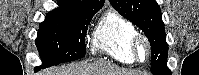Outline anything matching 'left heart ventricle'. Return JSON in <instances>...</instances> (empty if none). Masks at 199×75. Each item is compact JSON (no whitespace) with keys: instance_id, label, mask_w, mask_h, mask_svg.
<instances>
[{"instance_id":"left-heart-ventricle-1","label":"left heart ventricle","mask_w":199,"mask_h":75,"mask_svg":"<svg viewBox=\"0 0 199 75\" xmlns=\"http://www.w3.org/2000/svg\"><path fill=\"white\" fill-rule=\"evenodd\" d=\"M146 53H147V50H146V46L141 44L139 47H138V55L141 59H144L146 57Z\"/></svg>"}]
</instances>
